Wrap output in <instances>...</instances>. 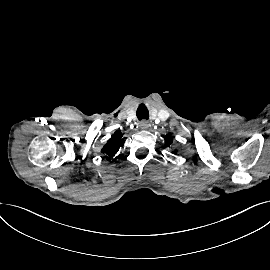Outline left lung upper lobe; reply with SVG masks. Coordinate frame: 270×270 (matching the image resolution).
I'll use <instances>...</instances> for the list:
<instances>
[{
	"label": "left lung upper lobe",
	"instance_id": "left-lung-upper-lobe-1",
	"mask_svg": "<svg viewBox=\"0 0 270 270\" xmlns=\"http://www.w3.org/2000/svg\"><path fill=\"white\" fill-rule=\"evenodd\" d=\"M172 142H173V138L171 136L167 135L165 137L166 146H170L172 144Z\"/></svg>",
	"mask_w": 270,
	"mask_h": 270
}]
</instances>
